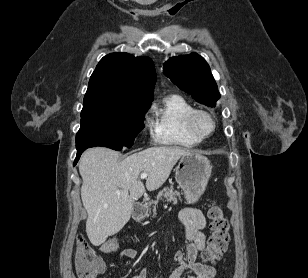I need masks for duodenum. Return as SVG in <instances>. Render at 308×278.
Masks as SVG:
<instances>
[{
    "instance_id": "obj_1",
    "label": "duodenum",
    "mask_w": 308,
    "mask_h": 278,
    "mask_svg": "<svg viewBox=\"0 0 308 278\" xmlns=\"http://www.w3.org/2000/svg\"><path fill=\"white\" fill-rule=\"evenodd\" d=\"M147 211V205L143 202L137 203L133 210V218L135 220H141Z\"/></svg>"
}]
</instances>
